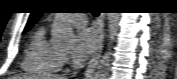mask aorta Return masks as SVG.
<instances>
[{
    "instance_id": "aorta-1",
    "label": "aorta",
    "mask_w": 177,
    "mask_h": 79,
    "mask_svg": "<svg viewBox=\"0 0 177 79\" xmlns=\"http://www.w3.org/2000/svg\"><path fill=\"white\" fill-rule=\"evenodd\" d=\"M119 13H108L109 43L106 52L102 55L93 79H108L112 44L118 32ZM52 41L57 46H68L74 40V32L69 23L65 21L63 13H56L52 24Z\"/></svg>"
}]
</instances>
